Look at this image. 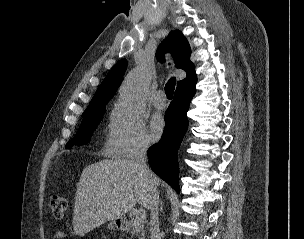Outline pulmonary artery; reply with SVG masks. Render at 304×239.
<instances>
[{"instance_id": "1", "label": "pulmonary artery", "mask_w": 304, "mask_h": 239, "mask_svg": "<svg viewBox=\"0 0 304 239\" xmlns=\"http://www.w3.org/2000/svg\"><path fill=\"white\" fill-rule=\"evenodd\" d=\"M152 103L156 108H164L166 106V99L163 91L159 90L155 92L152 98Z\"/></svg>"}]
</instances>
